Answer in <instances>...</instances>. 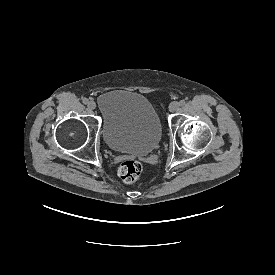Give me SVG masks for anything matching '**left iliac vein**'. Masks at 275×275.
Instances as JSON below:
<instances>
[{"mask_svg":"<svg viewBox=\"0 0 275 275\" xmlns=\"http://www.w3.org/2000/svg\"><path fill=\"white\" fill-rule=\"evenodd\" d=\"M178 108H179V104H178V102H176V101L171 102L170 105H169V110H170L171 112L177 111Z\"/></svg>","mask_w":275,"mask_h":275,"instance_id":"left-iliac-vein-1","label":"left iliac vein"}]
</instances>
